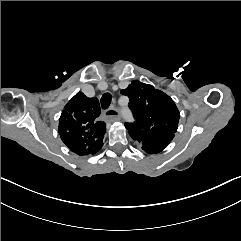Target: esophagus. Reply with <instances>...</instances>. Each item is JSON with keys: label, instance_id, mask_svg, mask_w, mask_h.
Returning <instances> with one entry per match:
<instances>
[{"label": "esophagus", "instance_id": "esophagus-1", "mask_svg": "<svg viewBox=\"0 0 241 241\" xmlns=\"http://www.w3.org/2000/svg\"><path fill=\"white\" fill-rule=\"evenodd\" d=\"M104 115L108 119H115V120H120V110L116 108L115 106H111L107 110H105Z\"/></svg>", "mask_w": 241, "mask_h": 241}]
</instances>
